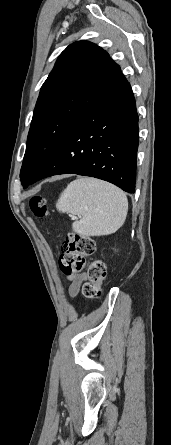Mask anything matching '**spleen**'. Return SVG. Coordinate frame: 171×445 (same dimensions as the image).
Instances as JSON below:
<instances>
[{
    "label": "spleen",
    "instance_id": "1",
    "mask_svg": "<svg viewBox=\"0 0 171 445\" xmlns=\"http://www.w3.org/2000/svg\"><path fill=\"white\" fill-rule=\"evenodd\" d=\"M56 208L78 216L74 232L83 236H103L116 232L128 211L125 193L116 186L95 178H78L61 193Z\"/></svg>",
    "mask_w": 171,
    "mask_h": 445
}]
</instances>
